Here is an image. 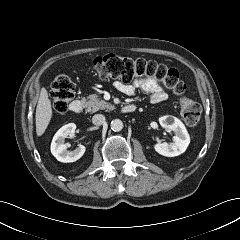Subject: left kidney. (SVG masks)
<instances>
[{
  "instance_id": "obj_1",
  "label": "left kidney",
  "mask_w": 240,
  "mask_h": 240,
  "mask_svg": "<svg viewBox=\"0 0 240 240\" xmlns=\"http://www.w3.org/2000/svg\"><path fill=\"white\" fill-rule=\"evenodd\" d=\"M160 125L174 132L173 143H157L154 149L157 153L166 156L174 157L184 153L190 143V136L184 124L176 117L166 115L159 118Z\"/></svg>"
}]
</instances>
